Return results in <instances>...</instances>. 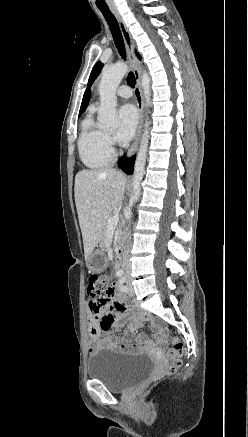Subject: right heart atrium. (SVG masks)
<instances>
[{
    "label": "right heart atrium",
    "instance_id": "d8ad5b80",
    "mask_svg": "<svg viewBox=\"0 0 248 437\" xmlns=\"http://www.w3.org/2000/svg\"><path fill=\"white\" fill-rule=\"evenodd\" d=\"M105 139H106V144H107L108 148L110 149V151H112L113 147L115 145V138L110 133L106 132Z\"/></svg>",
    "mask_w": 248,
    "mask_h": 437
}]
</instances>
